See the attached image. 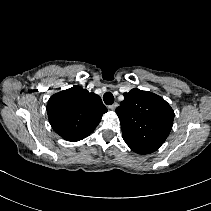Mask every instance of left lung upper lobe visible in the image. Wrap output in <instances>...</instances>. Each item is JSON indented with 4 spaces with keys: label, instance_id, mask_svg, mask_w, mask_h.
Returning a JSON list of instances; mask_svg holds the SVG:
<instances>
[{
    "label": "left lung upper lobe",
    "instance_id": "5c2ea615",
    "mask_svg": "<svg viewBox=\"0 0 211 211\" xmlns=\"http://www.w3.org/2000/svg\"><path fill=\"white\" fill-rule=\"evenodd\" d=\"M123 95L116 113L124 141L138 154L155 152L172 129L173 109L162 97L148 91L132 89Z\"/></svg>",
    "mask_w": 211,
    "mask_h": 211
}]
</instances>
